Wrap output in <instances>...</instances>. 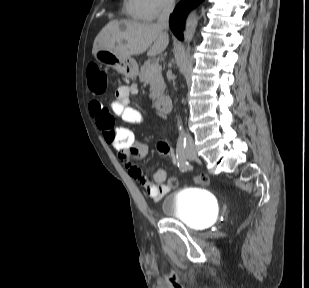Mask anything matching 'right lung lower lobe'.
<instances>
[{"label": "right lung lower lobe", "instance_id": "obj_1", "mask_svg": "<svg viewBox=\"0 0 309 288\" xmlns=\"http://www.w3.org/2000/svg\"><path fill=\"white\" fill-rule=\"evenodd\" d=\"M202 1L203 0H181V2L176 6L171 15L170 28L178 39H183L182 30L186 15L192 8L196 7Z\"/></svg>", "mask_w": 309, "mask_h": 288}]
</instances>
